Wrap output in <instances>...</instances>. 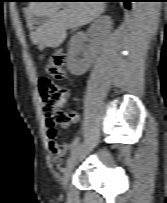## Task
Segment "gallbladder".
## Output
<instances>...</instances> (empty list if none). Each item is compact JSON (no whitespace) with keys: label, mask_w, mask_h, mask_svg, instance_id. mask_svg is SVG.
Masks as SVG:
<instances>
[{"label":"gallbladder","mask_w":167,"mask_h":203,"mask_svg":"<svg viewBox=\"0 0 167 203\" xmlns=\"http://www.w3.org/2000/svg\"><path fill=\"white\" fill-rule=\"evenodd\" d=\"M47 19H48L47 16H42V17L33 16V23H34V24H41V23H43L44 21H46Z\"/></svg>","instance_id":"obj_1"}]
</instances>
